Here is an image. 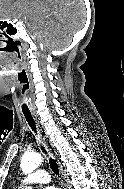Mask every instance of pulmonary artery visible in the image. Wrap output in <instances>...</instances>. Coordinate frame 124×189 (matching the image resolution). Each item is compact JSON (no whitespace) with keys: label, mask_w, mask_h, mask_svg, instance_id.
<instances>
[{"label":"pulmonary artery","mask_w":124,"mask_h":189,"mask_svg":"<svg viewBox=\"0 0 124 189\" xmlns=\"http://www.w3.org/2000/svg\"><path fill=\"white\" fill-rule=\"evenodd\" d=\"M50 181V175L43 171V170H38L31 175L25 177L24 179L21 180L20 186H25L28 184H45Z\"/></svg>","instance_id":"pulmonary-artery-1"}]
</instances>
